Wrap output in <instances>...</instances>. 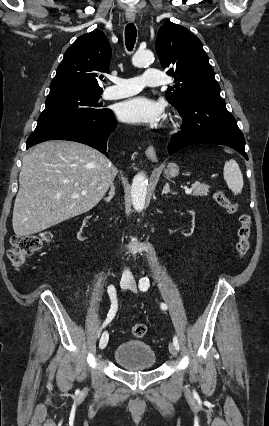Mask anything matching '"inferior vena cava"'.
<instances>
[{
    "label": "inferior vena cava",
    "instance_id": "1",
    "mask_svg": "<svg viewBox=\"0 0 269 426\" xmlns=\"http://www.w3.org/2000/svg\"><path fill=\"white\" fill-rule=\"evenodd\" d=\"M129 274L130 272L128 270H125L123 275H129Z\"/></svg>",
    "mask_w": 269,
    "mask_h": 426
}]
</instances>
